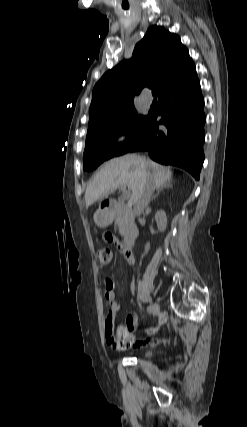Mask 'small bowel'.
I'll return each instance as SVG.
<instances>
[{
	"instance_id": "obj_1",
	"label": "small bowel",
	"mask_w": 247,
	"mask_h": 427,
	"mask_svg": "<svg viewBox=\"0 0 247 427\" xmlns=\"http://www.w3.org/2000/svg\"><path fill=\"white\" fill-rule=\"evenodd\" d=\"M117 239L113 236V231L111 229H106L104 231V244L107 246H110L112 243L116 242ZM122 251L124 253V256L129 264L135 263V256L132 251L122 248ZM105 285V297L108 302L109 306V312L106 318V328L109 324H113V321L115 319V316L117 312L119 311L120 305L116 299L115 296V285L111 278H106L104 281ZM166 322V319L164 316H161L156 324L155 327H152L148 330V333L150 335L154 334L156 330H158L161 326H163ZM125 327L130 331H134L137 327V316L134 313H130L126 317L125 321ZM109 343L111 344L109 338L107 337ZM158 342V339L154 337H147L142 340L133 342V345L135 346H147V345H154ZM112 346V345H111ZM113 347V346H112ZM116 350V349H115Z\"/></svg>"
}]
</instances>
